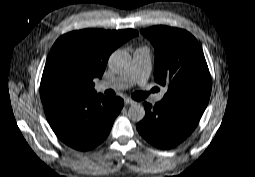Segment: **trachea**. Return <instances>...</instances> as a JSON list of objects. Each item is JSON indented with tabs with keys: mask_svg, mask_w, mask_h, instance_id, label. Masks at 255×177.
Here are the masks:
<instances>
[{
	"mask_svg": "<svg viewBox=\"0 0 255 177\" xmlns=\"http://www.w3.org/2000/svg\"><path fill=\"white\" fill-rule=\"evenodd\" d=\"M147 95V92H135L132 94V98H134L135 100H142L147 97Z\"/></svg>",
	"mask_w": 255,
	"mask_h": 177,
	"instance_id": "obj_1",
	"label": "trachea"
}]
</instances>
